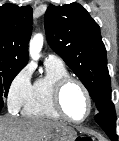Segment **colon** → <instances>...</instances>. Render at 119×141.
Instances as JSON below:
<instances>
[{
	"mask_svg": "<svg viewBox=\"0 0 119 141\" xmlns=\"http://www.w3.org/2000/svg\"><path fill=\"white\" fill-rule=\"evenodd\" d=\"M75 141H91L89 137H77Z\"/></svg>",
	"mask_w": 119,
	"mask_h": 141,
	"instance_id": "1",
	"label": "colon"
}]
</instances>
